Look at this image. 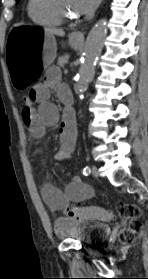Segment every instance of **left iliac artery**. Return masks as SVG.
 Wrapping results in <instances>:
<instances>
[{"label":"left iliac artery","instance_id":"obj_1","mask_svg":"<svg viewBox=\"0 0 148 279\" xmlns=\"http://www.w3.org/2000/svg\"><path fill=\"white\" fill-rule=\"evenodd\" d=\"M83 174L86 176L90 174V168L88 166L84 167Z\"/></svg>","mask_w":148,"mask_h":279}]
</instances>
